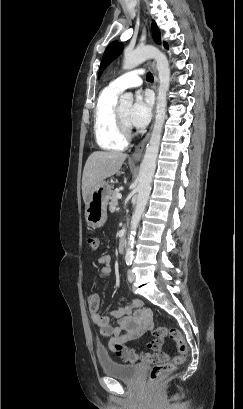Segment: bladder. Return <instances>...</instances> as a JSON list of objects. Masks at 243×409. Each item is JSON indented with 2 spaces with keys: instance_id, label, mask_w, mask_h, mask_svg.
<instances>
[{
  "instance_id": "31cf9c89",
  "label": "bladder",
  "mask_w": 243,
  "mask_h": 409,
  "mask_svg": "<svg viewBox=\"0 0 243 409\" xmlns=\"http://www.w3.org/2000/svg\"><path fill=\"white\" fill-rule=\"evenodd\" d=\"M102 372L121 381H135L141 372L140 364H124L113 359L98 358Z\"/></svg>"
}]
</instances>
